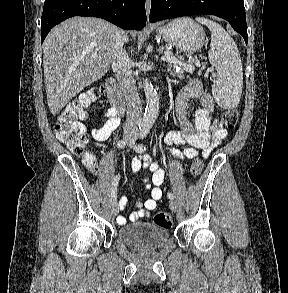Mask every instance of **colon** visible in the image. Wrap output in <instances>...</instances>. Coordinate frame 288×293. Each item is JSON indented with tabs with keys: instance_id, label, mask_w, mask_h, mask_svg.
<instances>
[{
	"instance_id": "1",
	"label": "colon",
	"mask_w": 288,
	"mask_h": 293,
	"mask_svg": "<svg viewBox=\"0 0 288 293\" xmlns=\"http://www.w3.org/2000/svg\"><path fill=\"white\" fill-rule=\"evenodd\" d=\"M103 94L101 88H95L89 91L75 102L67 105L58 115L54 132L58 140L64 143L71 152L82 157L83 164L91 171L97 169L96 158L86 151L88 134L83 120L86 117L87 110ZM239 119V111L235 108L226 110L222 115V121L228 129L235 128ZM204 168L200 159H195L190 167L193 177H198ZM154 223L164 228H170L172 217L168 212L160 211L154 217Z\"/></svg>"
}]
</instances>
